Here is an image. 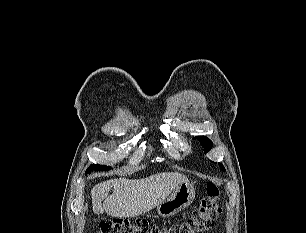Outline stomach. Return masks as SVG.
Returning a JSON list of instances; mask_svg holds the SVG:
<instances>
[{
  "instance_id": "stomach-1",
  "label": "stomach",
  "mask_w": 306,
  "mask_h": 233,
  "mask_svg": "<svg viewBox=\"0 0 306 233\" xmlns=\"http://www.w3.org/2000/svg\"><path fill=\"white\" fill-rule=\"evenodd\" d=\"M195 198L194 186L182 183L160 204L157 205V213L162 217H170L188 207Z\"/></svg>"
}]
</instances>
